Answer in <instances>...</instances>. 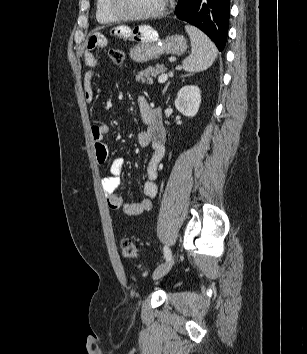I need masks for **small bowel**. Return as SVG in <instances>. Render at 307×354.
<instances>
[{"label":"small bowel","mask_w":307,"mask_h":354,"mask_svg":"<svg viewBox=\"0 0 307 354\" xmlns=\"http://www.w3.org/2000/svg\"><path fill=\"white\" fill-rule=\"evenodd\" d=\"M112 34L120 38H134L135 35L134 31H126L122 28L114 29ZM104 46L105 40L102 37L91 38L84 53V63L90 69L84 75L83 91L85 99L89 102L94 99V68L99 65L97 51ZM138 106L141 118L145 124V129L138 135V144L140 147L151 148L153 151L146 166L147 179L143 183L144 198L135 203H127L117 193L121 183L120 176L125 164L124 159L121 157L115 158L111 162L109 175L101 181L109 207L112 209H121L124 214L129 216L140 215L151 209L152 199L156 197L158 191L155 183L158 176V167L165 153V132L158 113L144 96L139 97ZM109 131V125L105 123L95 124L91 127L95 156L99 164L106 162L108 157V148L103 140Z\"/></svg>","instance_id":"1"}]
</instances>
